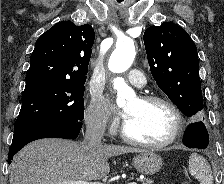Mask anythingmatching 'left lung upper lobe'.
I'll use <instances>...</instances> for the list:
<instances>
[{
    "label": "left lung upper lobe",
    "mask_w": 224,
    "mask_h": 184,
    "mask_svg": "<svg viewBox=\"0 0 224 184\" xmlns=\"http://www.w3.org/2000/svg\"><path fill=\"white\" fill-rule=\"evenodd\" d=\"M152 76L159 88L193 120L201 118L203 99L198 73L197 48L177 24L164 22L144 33Z\"/></svg>",
    "instance_id": "5c2ea615"
}]
</instances>
